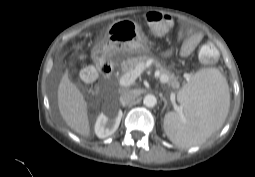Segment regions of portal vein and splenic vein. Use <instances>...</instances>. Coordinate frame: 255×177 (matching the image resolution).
<instances>
[{
  "label": "portal vein and splenic vein",
  "instance_id": "1",
  "mask_svg": "<svg viewBox=\"0 0 255 177\" xmlns=\"http://www.w3.org/2000/svg\"><path fill=\"white\" fill-rule=\"evenodd\" d=\"M143 70H144V65L139 64L136 66V68L134 70L124 74L119 79L120 86L127 87V86L132 85L135 82V80L141 75ZM162 81H166L165 77H162ZM174 108H175V110L179 111V107L176 104L174 105Z\"/></svg>",
  "mask_w": 255,
  "mask_h": 177
}]
</instances>
